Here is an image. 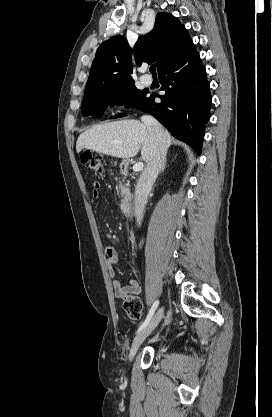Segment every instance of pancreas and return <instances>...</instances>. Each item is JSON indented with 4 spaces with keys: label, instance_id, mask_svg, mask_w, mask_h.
<instances>
[{
    "label": "pancreas",
    "instance_id": "1",
    "mask_svg": "<svg viewBox=\"0 0 272 417\" xmlns=\"http://www.w3.org/2000/svg\"><path fill=\"white\" fill-rule=\"evenodd\" d=\"M119 189L120 190H127L128 189V184L127 183L126 184H120ZM118 193H119V191H118Z\"/></svg>",
    "mask_w": 272,
    "mask_h": 417
}]
</instances>
